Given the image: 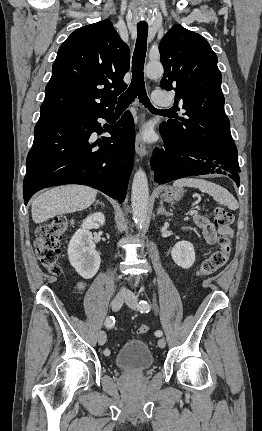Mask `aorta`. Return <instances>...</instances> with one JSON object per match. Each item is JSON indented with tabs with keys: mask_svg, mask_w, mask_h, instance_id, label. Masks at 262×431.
<instances>
[{
	"mask_svg": "<svg viewBox=\"0 0 262 431\" xmlns=\"http://www.w3.org/2000/svg\"><path fill=\"white\" fill-rule=\"evenodd\" d=\"M164 69L159 62H150L145 67V74L149 78L159 77ZM149 188L146 173L139 168L132 182L131 206L135 224L142 228L146 222L148 210Z\"/></svg>",
	"mask_w": 262,
	"mask_h": 431,
	"instance_id": "obj_1",
	"label": "aorta"
}]
</instances>
